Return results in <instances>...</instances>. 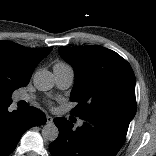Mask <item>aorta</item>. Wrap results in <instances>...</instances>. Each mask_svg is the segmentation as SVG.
I'll return each instance as SVG.
<instances>
[{
    "instance_id": "aorta-1",
    "label": "aorta",
    "mask_w": 156,
    "mask_h": 156,
    "mask_svg": "<svg viewBox=\"0 0 156 156\" xmlns=\"http://www.w3.org/2000/svg\"><path fill=\"white\" fill-rule=\"evenodd\" d=\"M33 83L37 90L48 91L54 86L53 74L49 71H37L33 76ZM59 130L54 123H47L42 128V137L50 142L58 138Z\"/></svg>"
}]
</instances>
